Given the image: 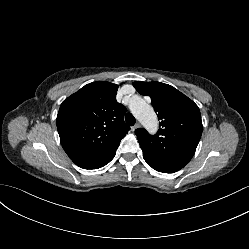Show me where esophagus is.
I'll return each instance as SVG.
<instances>
[{
  "instance_id": "34e87169",
  "label": "esophagus",
  "mask_w": 249,
  "mask_h": 249,
  "mask_svg": "<svg viewBox=\"0 0 249 249\" xmlns=\"http://www.w3.org/2000/svg\"><path fill=\"white\" fill-rule=\"evenodd\" d=\"M140 127V123H136L133 127H132V131H135L137 128Z\"/></svg>"
}]
</instances>
